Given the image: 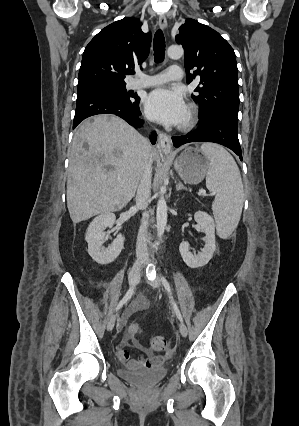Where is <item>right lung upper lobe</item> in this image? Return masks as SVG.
<instances>
[{
	"instance_id": "right-lung-upper-lobe-1",
	"label": "right lung upper lobe",
	"mask_w": 299,
	"mask_h": 426,
	"mask_svg": "<svg viewBox=\"0 0 299 426\" xmlns=\"http://www.w3.org/2000/svg\"><path fill=\"white\" fill-rule=\"evenodd\" d=\"M151 33L136 18H124L102 29L86 46L78 86L126 84L124 78L148 56Z\"/></svg>"
}]
</instances>
